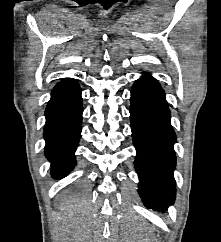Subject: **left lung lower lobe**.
Returning <instances> with one entry per match:
<instances>
[{"label": "left lung lower lobe", "instance_id": "obj_1", "mask_svg": "<svg viewBox=\"0 0 221 242\" xmlns=\"http://www.w3.org/2000/svg\"><path fill=\"white\" fill-rule=\"evenodd\" d=\"M130 119L137 150L135 169L139 194L147 208L166 210L175 198L173 170L176 135L170 124V111L158 81L145 74L131 90Z\"/></svg>", "mask_w": 221, "mask_h": 242}]
</instances>
